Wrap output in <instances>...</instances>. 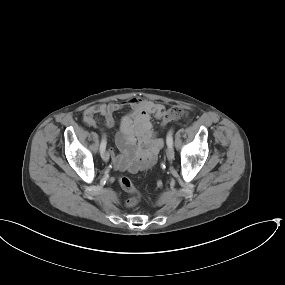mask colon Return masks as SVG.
Segmentation results:
<instances>
[{"instance_id": "obj_1", "label": "colon", "mask_w": 285, "mask_h": 285, "mask_svg": "<svg viewBox=\"0 0 285 285\" xmlns=\"http://www.w3.org/2000/svg\"><path fill=\"white\" fill-rule=\"evenodd\" d=\"M157 113L161 114V124H166L167 122L177 120L181 118L183 115V108L179 105H175L167 110L163 109L162 107L157 108ZM118 183L122 189L132 194H135L134 197L130 198L127 201L128 207L135 206L139 201L138 192L133 185L131 179L125 175H121L118 178Z\"/></svg>"}]
</instances>
